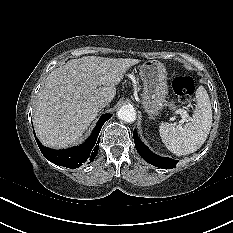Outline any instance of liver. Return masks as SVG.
I'll list each match as a JSON object with an SVG mask.
<instances>
[{
	"label": "liver",
	"instance_id": "1",
	"mask_svg": "<svg viewBox=\"0 0 233 233\" xmlns=\"http://www.w3.org/2000/svg\"><path fill=\"white\" fill-rule=\"evenodd\" d=\"M140 62L130 58L85 56L54 69L38 93L33 123L37 137L47 147L61 149L83 136L101 107L112 101L115 86L126 71Z\"/></svg>",
	"mask_w": 233,
	"mask_h": 233
}]
</instances>
